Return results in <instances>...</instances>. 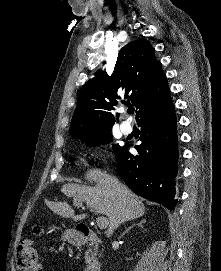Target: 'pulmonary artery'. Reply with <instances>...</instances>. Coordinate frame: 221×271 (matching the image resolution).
<instances>
[{"label":"pulmonary artery","instance_id":"obj_1","mask_svg":"<svg viewBox=\"0 0 221 271\" xmlns=\"http://www.w3.org/2000/svg\"><path fill=\"white\" fill-rule=\"evenodd\" d=\"M123 119H126V118L123 117ZM119 124L121 125L122 132L124 134H129L131 132V127L130 126H123L124 123L122 121Z\"/></svg>","mask_w":221,"mask_h":271}]
</instances>
